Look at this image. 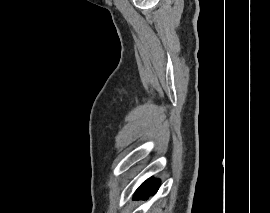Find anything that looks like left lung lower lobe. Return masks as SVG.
<instances>
[{
    "instance_id": "1",
    "label": "left lung lower lobe",
    "mask_w": 270,
    "mask_h": 213,
    "mask_svg": "<svg viewBox=\"0 0 270 213\" xmlns=\"http://www.w3.org/2000/svg\"><path fill=\"white\" fill-rule=\"evenodd\" d=\"M159 184L160 181L158 179H148L138 188L135 199H147L151 191L155 193L158 190Z\"/></svg>"
}]
</instances>
